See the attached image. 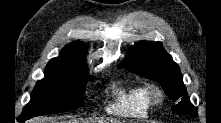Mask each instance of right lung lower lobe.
<instances>
[{
    "mask_svg": "<svg viewBox=\"0 0 221 123\" xmlns=\"http://www.w3.org/2000/svg\"><path fill=\"white\" fill-rule=\"evenodd\" d=\"M26 119H29V118H27V117L21 115V120H22V121H25Z\"/></svg>",
    "mask_w": 221,
    "mask_h": 123,
    "instance_id": "98d812e1",
    "label": "right lung lower lobe"
}]
</instances>
